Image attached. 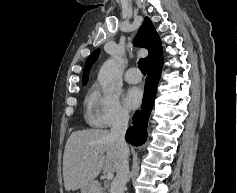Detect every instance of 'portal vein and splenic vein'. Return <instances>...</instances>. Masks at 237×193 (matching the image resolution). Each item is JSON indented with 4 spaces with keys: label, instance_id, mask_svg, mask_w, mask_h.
<instances>
[{
    "label": "portal vein and splenic vein",
    "instance_id": "obj_1",
    "mask_svg": "<svg viewBox=\"0 0 237 193\" xmlns=\"http://www.w3.org/2000/svg\"><path fill=\"white\" fill-rule=\"evenodd\" d=\"M113 176H114L113 172H107V174H106V178H107L108 180L113 179Z\"/></svg>",
    "mask_w": 237,
    "mask_h": 193
}]
</instances>
